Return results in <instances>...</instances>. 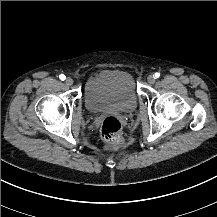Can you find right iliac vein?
I'll use <instances>...</instances> for the list:
<instances>
[{"label": "right iliac vein", "instance_id": "1", "mask_svg": "<svg viewBox=\"0 0 217 217\" xmlns=\"http://www.w3.org/2000/svg\"><path fill=\"white\" fill-rule=\"evenodd\" d=\"M73 82L74 81H73V79L71 77H68V78L65 79V84L67 86H71L73 84Z\"/></svg>", "mask_w": 217, "mask_h": 217}]
</instances>
